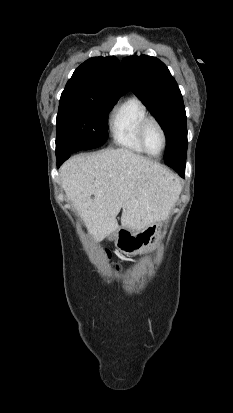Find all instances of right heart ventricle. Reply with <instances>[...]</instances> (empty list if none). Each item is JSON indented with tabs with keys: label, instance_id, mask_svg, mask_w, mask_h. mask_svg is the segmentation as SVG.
<instances>
[{
	"label": "right heart ventricle",
	"instance_id": "1",
	"mask_svg": "<svg viewBox=\"0 0 233 413\" xmlns=\"http://www.w3.org/2000/svg\"><path fill=\"white\" fill-rule=\"evenodd\" d=\"M146 116H148L147 108L142 99L137 96L128 97L117 105L109 119L113 143L135 153H145L138 139V127Z\"/></svg>",
	"mask_w": 233,
	"mask_h": 413
}]
</instances>
